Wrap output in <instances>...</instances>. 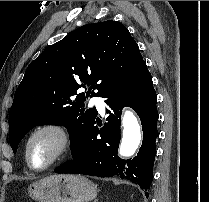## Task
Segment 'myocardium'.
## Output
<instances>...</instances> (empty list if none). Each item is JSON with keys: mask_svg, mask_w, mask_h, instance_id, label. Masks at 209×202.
<instances>
[{"mask_svg": "<svg viewBox=\"0 0 209 202\" xmlns=\"http://www.w3.org/2000/svg\"><path fill=\"white\" fill-rule=\"evenodd\" d=\"M43 133H48L53 135L56 141V145L48 162L43 166L37 167L33 164L31 159L30 145L31 142L37 136ZM73 147H74V142L72 136L62 124L58 122H45L33 128L26 137L24 143L25 159L30 169L37 172H42L53 167L61 160L68 157L71 154Z\"/></svg>", "mask_w": 209, "mask_h": 202, "instance_id": "f54148a6", "label": "myocardium"}]
</instances>
